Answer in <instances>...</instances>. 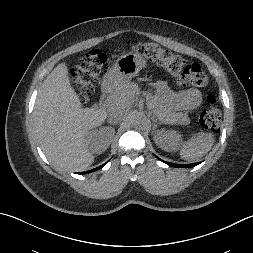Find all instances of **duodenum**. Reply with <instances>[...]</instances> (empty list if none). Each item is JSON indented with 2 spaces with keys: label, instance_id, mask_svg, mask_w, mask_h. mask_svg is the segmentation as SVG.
Listing matches in <instances>:
<instances>
[{
  "label": "duodenum",
  "instance_id": "obj_1",
  "mask_svg": "<svg viewBox=\"0 0 253 253\" xmlns=\"http://www.w3.org/2000/svg\"><path fill=\"white\" fill-rule=\"evenodd\" d=\"M114 79L107 78L102 85V94L100 103L105 109H109L113 105Z\"/></svg>",
  "mask_w": 253,
  "mask_h": 253
}]
</instances>
